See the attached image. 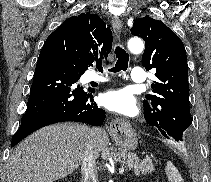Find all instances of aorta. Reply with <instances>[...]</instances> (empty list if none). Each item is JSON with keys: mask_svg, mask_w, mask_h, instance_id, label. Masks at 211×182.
<instances>
[{"mask_svg": "<svg viewBox=\"0 0 211 182\" xmlns=\"http://www.w3.org/2000/svg\"><path fill=\"white\" fill-rule=\"evenodd\" d=\"M128 48L132 53H140L144 49V43L142 39L134 37L129 39Z\"/></svg>", "mask_w": 211, "mask_h": 182, "instance_id": "762f6f07", "label": "aorta"}]
</instances>
